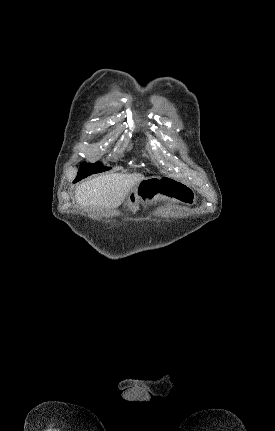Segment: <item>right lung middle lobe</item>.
<instances>
[{
	"mask_svg": "<svg viewBox=\"0 0 275 431\" xmlns=\"http://www.w3.org/2000/svg\"><path fill=\"white\" fill-rule=\"evenodd\" d=\"M110 170V167H105L101 163L87 164L83 163L74 182L81 180L89 175Z\"/></svg>",
	"mask_w": 275,
	"mask_h": 431,
	"instance_id": "obj_1",
	"label": "right lung middle lobe"
}]
</instances>
